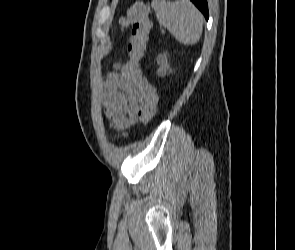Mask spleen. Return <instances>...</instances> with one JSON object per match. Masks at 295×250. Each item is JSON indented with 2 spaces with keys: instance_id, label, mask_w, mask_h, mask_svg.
Instances as JSON below:
<instances>
[{
  "instance_id": "1",
  "label": "spleen",
  "mask_w": 295,
  "mask_h": 250,
  "mask_svg": "<svg viewBox=\"0 0 295 250\" xmlns=\"http://www.w3.org/2000/svg\"><path fill=\"white\" fill-rule=\"evenodd\" d=\"M160 25L184 45L198 42L202 33L203 17L189 0H153L151 4Z\"/></svg>"
}]
</instances>
